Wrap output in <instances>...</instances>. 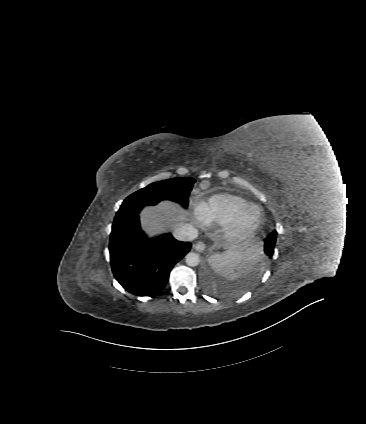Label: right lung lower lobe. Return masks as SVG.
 Returning a JSON list of instances; mask_svg holds the SVG:
<instances>
[{
    "instance_id": "obj_1",
    "label": "right lung lower lobe",
    "mask_w": 366,
    "mask_h": 424,
    "mask_svg": "<svg viewBox=\"0 0 366 424\" xmlns=\"http://www.w3.org/2000/svg\"><path fill=\"white\" fill-rule=\"evenodd\" d=\"M142 208L119 210L110 235V262L114 277L128 292L154 296L168 281L172 267L190 251L191 243L171 234L148 239L140 228Z\"/></svg>"
}]
</instances>
